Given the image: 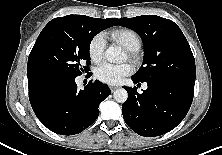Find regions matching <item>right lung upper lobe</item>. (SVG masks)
<instances>
[{
	"label": "right lung upper lobe",
	"mask_w": 222,
	"mask_h": 155,
	"mask_svg": "<svg viewBox=\"0 0 222 155\" xmlns=\"http://www.w3.org/2000/svg\"><path fill=\"white\" fill-rule=\"evenodd\" d=\"M113 24L117 25V18H108L105 19ZM28 88H29V99L37 98L42 99L46 97L51 92V87L49 83L36 79L28 75Z\"/></svg>",
	"instance_id": "cb5924a9"
}]
</instances>
